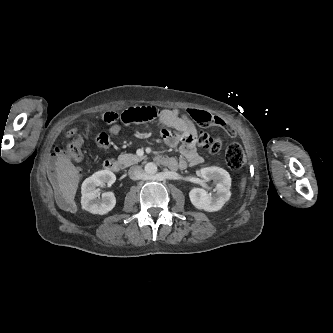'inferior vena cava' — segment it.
Returning a JSON list of instances; mask_svg holds the SVG:
<instances>
[{
  "instance_id": "602c4592",
  "label": "inferior vena cava",
  "mask_w": 333,
  "mask_h": 333,
  "mask_svg": "<svg viewBox=\"0 0 333 333\" xmlns=\"http://www.w3.org/2000/svg\"><path fill=\"white\" fill-rule=\"evenodd\" d=\"M128 175L132 180H138L142 178L143 170L140 166H133L129 169Z\"/></svg>"
}]
</instances>
